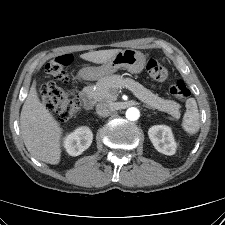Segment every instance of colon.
<instances>
[{
  "mask_svg": "<svg viewBox=\"0 0 225 225\" xmlns=\"http://www.w3.org/2000/svg\"><path fill=\"white\" fill-rule=\"evenodd\" d=\"M72 62L69 54L60 55L51 59L46 64V72L49 76L69 83L70 78L65 68ZM146 70L156 80L167 78V69L156 59L150 58L146 63ZM172 97L180 101H186L190 97V90L183 80H178L169 88ZM40 98L44 106L56 113L61 119L68 120L80 113L81 102L76 93L70 94L54 82H47L40 88Z\"/></svg>",
  "mask_w": 225,
  "mask_h": 225,
  "instance_id": "obj_1",
  "label": "colon"
}]
</instances>
